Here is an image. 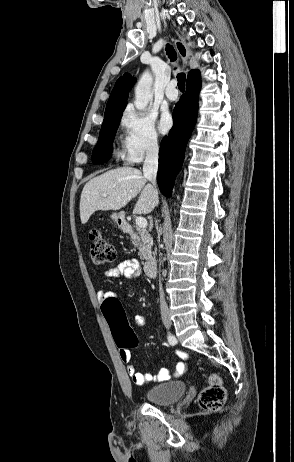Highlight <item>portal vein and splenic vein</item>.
<instances>
[{
	"label": "portal vein and splenic vein",
	"mask_w": 294,
	"mask_h": 462,
	"mask_svg": "<svg viewBox=\"0 0 294 462\" xmlns=\"http://www.w3.org/2000/svg\"><path fill=\"white\" fill-rule=\"evenodd\" d=\"M104 196H106V195H104ZM147 224H148L147 220L144 217H137L136 218V225L139 228L144 229V228H146Z\"/></svg>",
	"instance_id": "portal-vein-and-splenic-vein-1"
}]
</instances>
